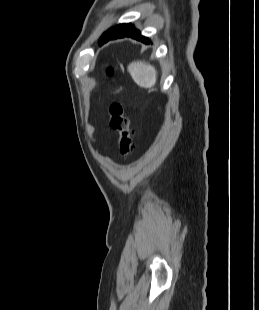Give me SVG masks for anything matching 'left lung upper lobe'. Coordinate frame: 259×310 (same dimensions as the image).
<instances>
[{
	"instance_id": "left-lung-upper-lobe-1",
	"label": "left lung upper lobe",
	"mask_w": 259,
	"mask_h": 310,
	"mask_svg": "<svg viewBox=\"0 0 259 310\" xmlns=\"http://www.w3.org/2000/svg\"><path fill=\"white\" fill-rule=\"evenodd\" d=\"M114 29H115V27H112L111 29H109L106 33H104V34L101 36V39H103L104 37H106L107 35H109ZM101 39H100V40H101Z\"/></svg>"
}]
</instances>
